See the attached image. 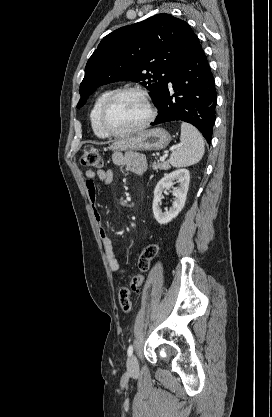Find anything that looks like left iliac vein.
I'll use <instances>...</instances> for the list:
<instances>
[{"mask_svg": "<svg viewBox=\"0 0 272 417\" xmlns=\"http://www.w3.org/2000/svg\"><path fill=\"white\" fill-rule=\"evenodd\" d=\"M138 361L135 355H131L127 360V369L130 373L138 371Z\"/></svg>", "mask_w": 272, "mask_h": 417, "instance_id": "obj_1", "label": "left iliac vein"}]
</instances>
